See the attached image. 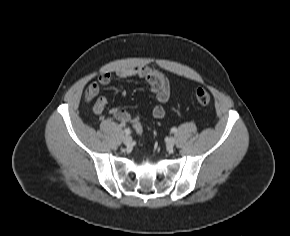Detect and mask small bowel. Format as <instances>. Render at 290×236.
<instances>
[{
    "mask_svg": "<svg viewBox=\"0 0 290 236\" xmlns=\"http://www.w3.org/2000/svg\"><path fill=\"white\" fill-rule=\"evenodd\" d=\"M119 78L125 79L128 77H139L144 79L151 88L154 94L157 105L152 109V115L155 119H162L165 115V110L162 104L167 102L170 96V87L167 78L159 71L149 66H132L127 68L119 69L116 72ZM111 73H102L97 81L92 82L86 89V98L95 99L93 104V112L98 116H103L108 100L104 96H99V91L102 86H107L111 82ZM110 115L117 119L122 125L131 121V115L123 108H113L110 110Z\"/></svg>",
    "mask_w": 290,
    "mask_h": 236,
    "instance_id": "c3829d8e",
    "label": "small bowel"
}]
</instances>
